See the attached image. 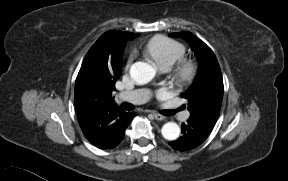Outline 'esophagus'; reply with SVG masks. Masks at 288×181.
Wrapping results in <instances>:
<instances>
[{"label": "esophagus", "instance_id": "34e87169", "mask_svg": "<svg viewBox=\"0 0 288 181\" xmlns=\"http://www.w3.org/2000/svg\"><path fill=\"white\" fill-rule=\"evenodd\" d=\"M152 115L154 116V118L156 120H164L165 119V116H163V115H161V114H159L157 112H152Z\"/></svg>", "mask_w": 288, "mask_h": 181}]
</instances>
